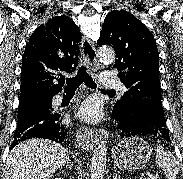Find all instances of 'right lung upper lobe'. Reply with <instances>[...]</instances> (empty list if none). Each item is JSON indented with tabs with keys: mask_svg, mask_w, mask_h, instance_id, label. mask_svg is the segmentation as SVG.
Returning a JSON list of instances; mask_svg holds the SVG:
<instances>
[{
	"mask_svg": "<svg viewBox=\"0 0 183 179\" xmlns=\"http://www.w3.org/2000/svg\"><path fill=\"white\" fill-rule=\"evenodd\" d=\"M81 34L67 16H56L40 25L29 38L22 58L21 96L56 93L64 76L79 62Z\"/></svg>",
	"mask_w": 183,
	"mask_h": 179,
	"instance_id": "obj_1",
	"label": "right lung upper lobe"
}]
</instances>
